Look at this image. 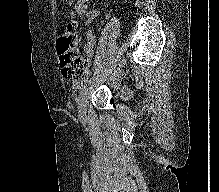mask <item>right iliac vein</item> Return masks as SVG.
Wrapping results in <instances>:
<instances>
[{
  "instance_id": "1",
  "label": "right iliac vein",
  "mask_w": 219,
  "mask_h": 192,
  "mask_svg": "<svg viewBox=\"0 0 219 192\" xmlns=\"http://www.w3.org/2000/svg\"><path fill=\"white\" fill-rule=\"evenodd\" d=\"M86 88L87 85H84L82 87L81 93H80V102L78 105V116L81 120L85 119L86 113H87V98H86Z\"/></svg>"
}]
</instances>
